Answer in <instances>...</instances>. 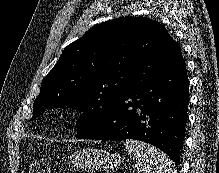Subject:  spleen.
<instances>
[{"instance_id": "spleen-1", "label": "spleen", "mask_w": 219, "mask_h": 173, "mask_svg": "<svg viewBox=\"0 0 219 173\" xmlns=\"http://www.w3.org/2000/svg\"><path fill=\"white\" fill-rule=\"evenodd\" d=\"M124 146L136 161L137 173H175L166 154L145 142L126 139Z\"/></svg>"}]
</instances>
